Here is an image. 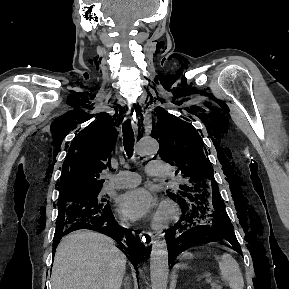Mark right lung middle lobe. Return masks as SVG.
Here are the masks:
<instances>
[{
	"label": "right lung middle lobe",
	"instance_id": "right-lung-middle-lobe-1",
	"mask_svg": "<svg viewBox=\"0 0 289 289\" xmlns=\"http://www.w3.org/2000/svg\"><path fill=\"white\" fill-rule=\"evenodd\" d=\"M100 191L101 189L79 191L59 197L56 234L64 233L81 218L99 216L107 212L110 206Z\"/></svg>",
	"mask_w": 289,
	"mask_h": 289
}]
</instances>
